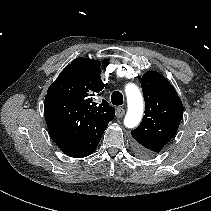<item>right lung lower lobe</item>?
<instances>
[{"instance_id":"1","label":"right lung lower lobe","mask_w":211,"mask_h":211,"mask_svg":"<svg viewBox=\"0 0 211 211\" xmlns=\"http://www.w3.org/2000/svg\"><path fill=\"white\" fill-rule=\"evenodd\" d=\"M78 104L71 98L47 94L44 113L49 132L58 147L68 156L82 158L97 148L106 127H77ZM66 139L59 141V136Z\"/></svg>"}]
</instances>
